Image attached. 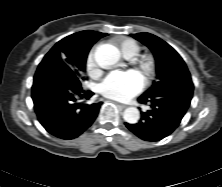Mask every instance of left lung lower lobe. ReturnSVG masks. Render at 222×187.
Masks as SVG:
<instances>
[{"label":"left lung lower lobe","instance_id":"left-lung-lower-lobe-1","mask_svg":"<svg viewBox=\"0 0 222 187\" xmlns=\"http://www.w3.org/2000/svg\"><path fill=\"white\" fill-rule=\"evenodd\" d=\"M181 89L180 96L174 99L168 98L170 95L167 91L154 96H140L138 101L143 104L149 102L152 109L141 113L139 123H125L126 127L146 141H159L170 135L178 127L190 105L193 83L185 82Z\"/></svg>","mask_w":222,"mask_h":187}]
</instances>
